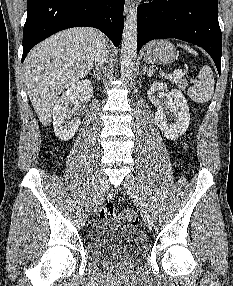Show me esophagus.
Masks as SVG:
<instances>
[{"instance_id":"1","label":"esophagus","mask_w":233,"mask_h":286,"mask_svg":"<svg viewBox=\"0 0 233 286\" xmlns=\"http://www.w3.org/2000/svg\"><path fill=\"white\" fill-rule=\"evenodd\" d=\"M135 10V4L133 0H125V13L128 14Z\"/></svg>"}]
</instances>
